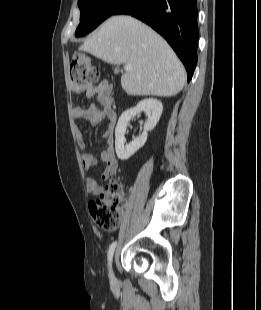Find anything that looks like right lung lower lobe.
Listing matches in <instances>:
<instances>
[{"label":"right lung lower lobe","mask_w":261,"mask_h":310,"mask_svg":"<svg viewBox=\"0 0 261 310\" xmlns=\"http://www.w3.org/2000/svg\"><path fill=\"white\" fill-rule=\"evenodd\" d=\"M117 14L134 16L161 34L183 62L190 81L197 63L196 0H127L113 13Z\"/></svg>","instance_id":"obj_1"}]
</instances>
